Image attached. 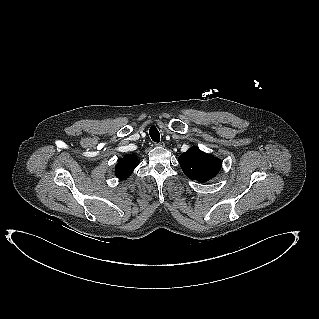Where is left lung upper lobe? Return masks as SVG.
<instances>
[{
  "mask_svg": "<svg viewBox=\"0 0 319 319\" xmlns=\"http://www.w3.org/2000/svg\"><path fill=\"white\" fill-rule=\"evenodd\" d=\"M179 164L185 175L192 180L206 182L221 169L220 159L192 147L178 158Z\"/></svg>",
  "mask_w": 319,
  "mask_h": 319,
  "instance_id": "1",
  "label": "left lung upper lobe"
}]
</instances>
